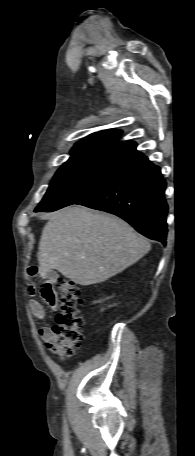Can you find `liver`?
Returning <instances> with one entry per match:
<instances>
[{"label":"liver","mask_w":195,"mask_h":456,"mask_svg":"<svg viewBox=\"0 0 195 456\" xmlns=\"http://www.w3.org/2000/svg\"><path fill=\"white\" fill-rule=\"evenodd\" d=\"M150 243L122 219L86 207L54 212L39 243V273L57 270L76 284L103 282L136 263Z\"/></svg>","instance_id":"1"}]
</instances>
